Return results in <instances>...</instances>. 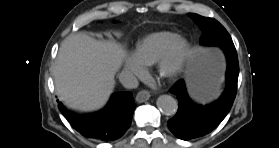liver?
I'll return each mask as SVG.
<instances>
[{
	"label": "liver",
	"instance_id": "1",
	"mask_svg": "<svg viewBox=\"0 0 279 148\" xmlns=\"http://www.w3.org/2000/svg\"><path fill=\"white\" fill-rule=\"evenodd\" d=\"M124 57L125 51L113 42L82 33L67 37L54 65L59 99L78 111L102 107L114 88V75Z\"/></svg>",
	"mask_w": 279,
	"mask_h": 148
}]
</instances>
